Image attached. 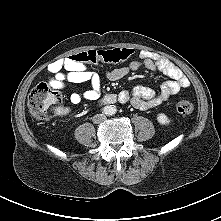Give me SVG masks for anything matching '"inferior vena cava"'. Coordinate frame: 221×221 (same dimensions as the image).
Returning <instances> with one entry per match:
<instances>
[{
	"label": "inferior vena cava",
	"mask_w": 221,
	"mask_h": 221,
	"mask_svg": "<svg viewBox=\"0 0 221 221\" xmlns=\"http://www.w3.org/2000/svg\"><path fill=\"white\" fill-rule=\"evenodd\" d=\"M106 115L104 114H96L94 117H93V122L96 123V124H99V123H102L104 121H106Z\"/></svg>",
	"instance_id": "602c4592"
}]
</instances>
